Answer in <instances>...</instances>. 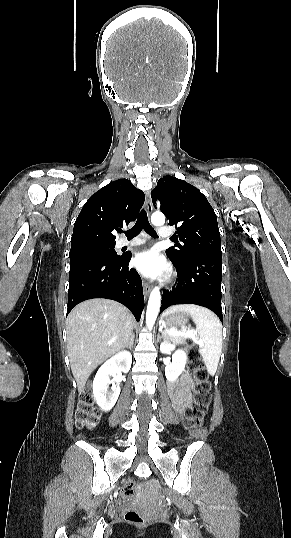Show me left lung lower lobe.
Wrapping results in <instances>:
<instances>
[{
  "label": "left lung lower lobe",
  "mask_w": 291,
  "mask_h": 538,
  "mask_svg": "<svg viewBox=\"0 0 291 538\" xmlns=\"http://www.w3.org/2000/svg\"><path fill=\"white\" fill-rule=\"evenodd\" d=\"M178 282L164 290L160 313L176 304H196L212 310L223 321L221 307L222 255L198 253L174 263ZM218 319V320H219Z\"/></svg>",
  "instance_id": "0a47b994"
}]
</instances>
